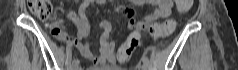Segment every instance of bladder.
<instances>
[{"instance_id":"31cf9c89","label":"bladder","mask_w":238,"mask_h":70,"mask_svg":"<svg viewBox=\"0 0 238 70\" xmlns=\"http://www.w3.org/2000/svg\"><path fill=\"white\" fill-rule=\"evenodd\" d=\"M90 70H125L119 67L91 68Z\"/></svg>"}]
</instances>
